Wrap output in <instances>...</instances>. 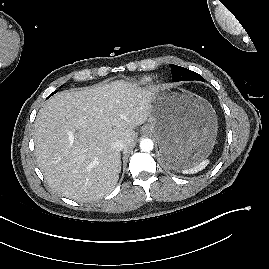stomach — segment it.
<instances>
[{"mask_svg":"<svg viewBox=\"0 0 269 269\" xmlns=\"http://www.w3.org/2000/svg\"><path fill=\"white\" fill-rule=\"evenodd\" d=\"M217 128V115L206 99L167 86L155 89L142 131L156 138L161 164L178 171L211 153Z\"/></svg>","mask_w":269,"mask_h":269,"instance_id":"0dacf381","label":"stomach"}]
</instances>
